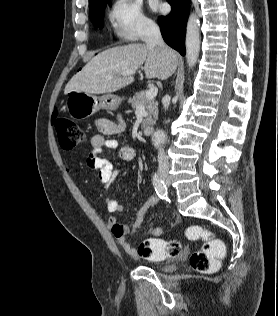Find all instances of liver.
<instances>
[{
	"instance_id": "6515ba94",
	"label": "liver",
	"mask_w": 278,
	"mask_h": 316,
	"mask_svg": "<svg viewBox=\"0 0 278 316\" xmlns=\"http://www.w3.org/2000/svg\"><path fill=\"white\" fill-rule=\"evenodd\" d=\"M144 64L147 79L165 80L177 68V56L159 46L144 43L115 47L93 57L83 69L67 83L64 93L82 92L86 94L112 93L134 81L133 75L123 76L127 70L138 69ZM107 76H113L107 79Z\"/></svg>"
}]
</instances>
